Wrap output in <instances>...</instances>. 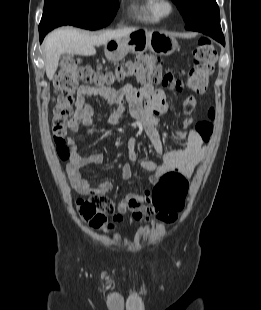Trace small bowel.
<instances>
[{"label": "small bowel", "instance_id": "c3829d8e", "mask_svg": "<svg viewBox=\"0 0 261 310\" xmlns=\"http://www.w3.org/2000/svg\"><path fill=\"white\" fill-rule=\"evenodd\" d=\"M87 97L102 98L108 104L116 107L117 115L122 112L124 101L129 102L131 115L144 130L155 151L162 156L161 163L147 159L140 161V166L144 170L153 172L150 178L152 184H157L164 174L171 171L179 172L186 178L192 176L194 169L204 156V143L208 140L203 139L196 129H191L193 119L188 116L183 121L184 130L176 132V136L183 141V145L170 151L163 150L157 116L164 115L168 106L162 91L154 90L150 84L146 83H142L137 88L126 85L121 89L81 85L76 94L75 112L68 123V128L73 133L77 132L81 125L89 126L93 122V108L86 103ZM185 103L189 108H193L196 106L197 100L190 95L186 98ZM67 147L69 149L67 173L71 186L77 193L104 195L112 190L111 181L105 180L96 186H92L87 179L83 178L81 173V169L89 164H102L104 156L101 153L82 156L73 138L67 139ZM127 149L129 159L136 162L138 154L134 138L128 139ZM122 175L124 179L131 177L132 172L128 164L123 166ZM117 212L116 220H120L122 214L130 212L135 220L148 221L159 210L152 204L150 192L146 191L144 194H127L117 203Z\"/></svg>", "mask_w": 261, "mask_h": 310}]
</instances>
